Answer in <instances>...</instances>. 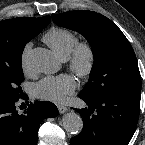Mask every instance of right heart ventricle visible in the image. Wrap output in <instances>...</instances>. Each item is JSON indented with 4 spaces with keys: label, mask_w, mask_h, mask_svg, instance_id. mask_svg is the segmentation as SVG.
Wrapping results in <instances>:
<instances>
[{
    "label": "right heart ventricle",
    "mask_w": 145,
    "mask_h": 145,
    "mask_svg": "<svg viewBox=\"0 0 145 145\" xmlns=\"http://www.w3.org/2000/svg\"><path fill=\"white\" fill-rule=\"evenodd\" d=\"M45 43L61 58L66 59L78 43V38L71 30L52 27L43 36Z\"/></svg>",
    "instance_id": "1"
}]
</instances>
